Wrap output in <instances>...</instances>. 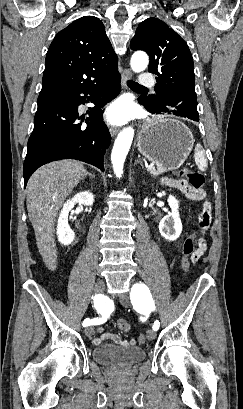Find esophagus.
Here are the masks:
<instances>
[{
	"instance_id": "esophagus-1",
	"label": "esophagus",
	"mask_w": 243,
	"mask_h": 409,
	"mask_svg": "<svg viewBox=\"0 0 243 409\" xmlns=\"http://www.w3.org/2000/svg\"><path fill=\"white\" fill-rule=\"evenodd\" d=\"M132 77V73L129 69H125L122 73V86L125 87L126 86V82L127 80L131 79ZM119 132V128L117 127H110V134L111 136H115L117 135V133Z\"/></svg>"
}]
</instances>
